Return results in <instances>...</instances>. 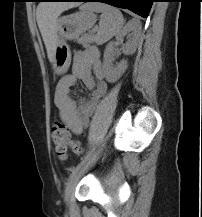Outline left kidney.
Instances as JSON below:
<instances>
[{"instance_id":"left-kidney-1","label":"left kidney","mask_w":202,"mask_h":217,"mask_svg":"<svg viewBox=\"0 0 202 217\" xmlns=\"http://www.w3.org/2000/svg\"><path fill=\"white\" fill-rule=\"evenodd\" d=\"M139 30L140 28L138 23L135 21H130L116 36V42H111L106 46V49L104 51L103 69L105 78L109 83L116 82L127 69L126 60H122L116 65L113 64L114 59L112 54L114 51V45L121 44L123 41V37L129 32H132L133 36L126 42V44H123L122 50L125 55L133 54L137 48V37L139 34Z\"/></svg>"}]
</instances>
